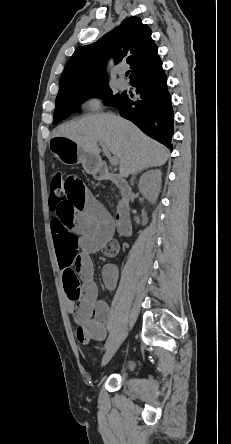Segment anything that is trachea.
Here are the masks:
<instances>
[{
    "label": "trachea",
    "instance_id": "obj_1",
    "mask_svg": "<svg viewBox=\"0 0 231 444\" xmlns=\"http://www.w3.org/2000/svg\"><path fill=\"white\" fill-rule=\"evenodd\" d=\"M129 74H130V71H127V72H126V76H128Z\"/></svg>",
    "mask_w": 231,
    "mask_h": 444
}]
</instances>
